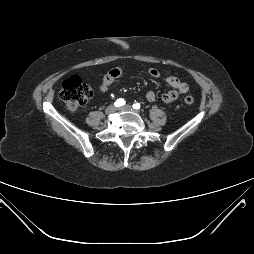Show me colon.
<instances>
[{
	"mask_svg": "<svg viewBox=\"0 0 254 254\" xmlns=\"http://www.w3.org/2000/svg\"><path fill=\"white\" fill-rule=\"evenodd\" d=\"M92 97L91 87L83 82L81 77L72 76L66 79L60 90V98L68 110L74 112L84 106ZM184 102L188 105L194 103L192 96H186Z\"/></svg>",
	"mask_w": 254,
	"mask_h": 254,
	"instance_id": "obj_1",
	"label": "colon"
}]
</instances>
